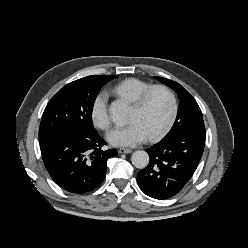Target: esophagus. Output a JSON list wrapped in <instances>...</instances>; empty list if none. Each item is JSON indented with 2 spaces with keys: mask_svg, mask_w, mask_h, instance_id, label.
<instances>
[{
  "mask_svg": "<svg viewBox=\"0 0 248 248\" xmlns=\"http://www.w3.org/2000/svg\"><path fill=\"white\" fill-rule=\"evenodd\" d=\"M131 152H132L131 149H126V148H120V149L118 150V153H119V154H129V153H131Z\"/></svg>",
  "mask_w": 248,
  "mask_h": 248,
  "instance_id": "34e87169",
  "label": "esophagus"
}]
</instances>
